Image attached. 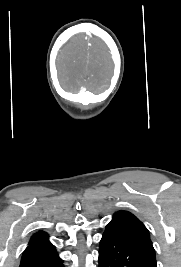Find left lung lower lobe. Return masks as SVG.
<instances>
[{"label": "left lung lower lobe", "mask_w": 181, "mask_h": 267, "mask_svg": "<svg viewBox=\"0 0 181 267\" xmlns=\"http://www.w3.org/2000/svg\"><path fill=\"white\" fill-rule=\"evenodd\" d=\"M99 267H157L155 251L134 231L108 224L100 241Z\"/></svg>", "instance_id": "1"}]
</instances>
